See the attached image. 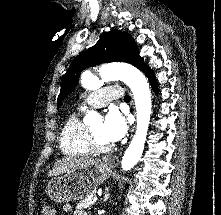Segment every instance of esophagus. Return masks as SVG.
Returning <instances> with one entry per match:
<instances>
[{
  "label": "esophagus",
  "instance_id": "1",
  "mask_svg": "<svg viewBox=\"0 0 221 215\" xmlns=\"http://www.w3.org/2000/svg\"><path fill=\"white\" fill-rule=\"evenodd\" d=\"M130 93V91H129ZM103 161L106 165L110 167H115L118 164V157L115 155H107L103 158Z\"/></svg>",
  "mask_w": 221,
  "mask_h": 215
}]
</instances>
